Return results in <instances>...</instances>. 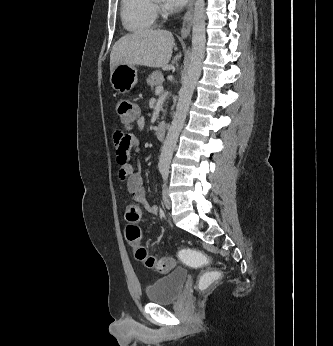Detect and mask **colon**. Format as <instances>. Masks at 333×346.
Here are the masks:
<instances>
[{
  "instance_id": "colon-1",
  "label": "colon",
  "mask_w": 333,
  "mask_h": 346,
  "mask_svg": "<svg viewBox=\"0 0 333 346\" xmlns=\"http://www.w3.org/2000/svg\"><path fill=\"white\" fill-rule=\"evenodd\" d=\"M117 113L121 123L125 127H130L138 117L136 105L129 100H121L117 104ZM129 225L126 228V237L130 246L134 250L135 258L144 263L147 268L155 269L160 273L169 272L174 266L175 261L169 257H155L149 255L147 249L141 243V230L137 225L140 219V211L137 205L131 204L125 214ZM202 249H183L176 254V259L180 264H185L186 268H193L194 271H205L207 267V257L202 254ZM224 275L219 270H209L206 275L195 282V287L204 289L212 287V280H223Z\"/></svg>"
}]
</instances>
